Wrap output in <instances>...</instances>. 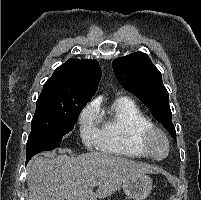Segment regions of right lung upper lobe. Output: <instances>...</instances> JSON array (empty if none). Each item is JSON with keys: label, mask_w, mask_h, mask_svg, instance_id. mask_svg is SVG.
I'll return each instance as SVG.
<instances>
[{"label": "right lung upper lobe", "mask_w": 201, "mask_h": 200, "mask_svg": "<svg viewBox=\"0 0 201 200\" xmlns=\"http://www.w3.org/2000/svg\"><path fill=\"white\" fill-rule=\"evenodd\" d=\"M101 69L97 61L69 59L44 84L41 97L88 100L98 89Z\"/></svg>", "instance_id": "1"}]
</instances>
